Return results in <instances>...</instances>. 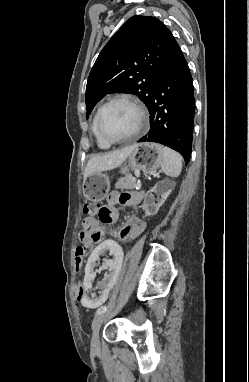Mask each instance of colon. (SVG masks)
Returning a JSON list of instances; mask_svg holds the SVG:
<instances>
[{
	"instance_id": "obj_1",
	"label": "colon",
	"mask_w": 249,
	"mask_h": 382,
	"mask_svg": "<svg viewBox=\"0 0 249 382\" xmlns=\"http://www.w3.org/2000/svg\"><path fill=\"white\" fill-rule=\"evenodd\" d=\"M83 212L92 218H100V217L106 215V212L103 210V208L100 207L95 202L85 203L83 206ZM84 254H85V252L83 250H78L76 252V265H75V270H76L75 274L76 275H79L80 271L82 270V267H83L82 258L84 256ZM83 294H84L83 287L80 286L79 290H78L77 298H80V296Z\"/></svg>"
}]
</instances>
